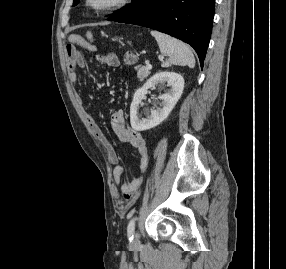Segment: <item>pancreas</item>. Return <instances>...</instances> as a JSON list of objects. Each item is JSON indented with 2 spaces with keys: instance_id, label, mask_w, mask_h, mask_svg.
<instances>
[{
  "instance_id": "pancreas-1",
  "label": "pancreas",
  "mask_w": 286,
  "mask_h": 269,
  "mask_svg": "<svg viewBox=\"0 0 286 269\" xmlns=\"http://www.w3.org/2000/svg\"><path fill=\"white\" fill-rule=\"evenodd\" d=\"M135 69L137 70V77L140 81L144 80L150 74L149 69L145 66H136Z\"/></svg>"
}]
</instances>
